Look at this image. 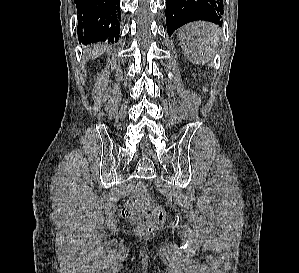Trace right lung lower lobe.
I'll use <instances>...</instances> for the list:
<instances>
[{
  "label": "right lung lower lobe",
  "instance_id": "right-lung-lower-lobe-1",
  "mask_svg": "<svg viewBox=\"0 0 299 273\" xmlns=\"http://www.w3.org/2000/svg\"><path fill=\"white\" fill-rule=\"evenodd\" d=\"M78 14V37L83 44L119 39L120 0H74Z\"/></svg>",
  "mask_w": 299,
  "mask_h": 273
}]
</instances>
